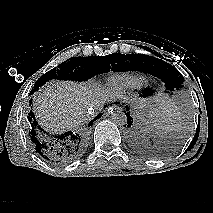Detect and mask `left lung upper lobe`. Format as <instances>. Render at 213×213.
I'll return each mask as SVG.
<instances>
[{"instance_id": "5c2ea615", "label": "left lung upper lobe", "mask_w": 213, "mask_h": 213, "mask_svg": "<svg viewBox=\"0 0 213 213\" xmlns=\"http://www.w3.org/2000/svg\"><path fill=\"white\" fill-rule=\"evenodd\" d=\"M130 62L132 69L160 78L164 83L170 84L172 90H177L183 86L184 80L178 70L161 59L145 54H134Z\"/></svg>"}]
</instances>
